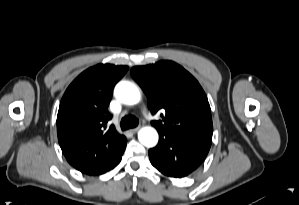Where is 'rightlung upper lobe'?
I'll return each instance as SVG.
<instances>
[{
    "label": "right lung upper lobe",
    "mask_w": 299,
    "mask_h": 205,
    "mask_svg": "<svg viewBox=\"0 0 299 205\" xmlns=\"http://www.w3.org/2000/svg\"><path fill=\"white\" fill-rule=\"evenodd\" d=\"M127 66L99 64L81 73L64 93L57 115V134L67 161L87 175L102 172L120 154L126 138L115 127L108 105L114 85Z\"/></svg>",
    "instance_id": "cb5924a9"
}]
</instances>
